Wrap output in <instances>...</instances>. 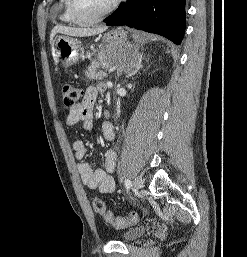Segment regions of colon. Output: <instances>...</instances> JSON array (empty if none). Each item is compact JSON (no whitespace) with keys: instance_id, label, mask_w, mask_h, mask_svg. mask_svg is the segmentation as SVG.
<instances>
[{"instance_id":"5ec220e1","label":"colon","mask_w":247,"mask_h":257,"mask_svg":"<svg viewBox=\"0 0 247 257\" xmlns=\"http://www.w3.org/2000/svg\"><path fill=\"white\" fill-rule=\"evenodd\" d=\"M62 103L65 107L71 108L75 106L80 97L81 89L70 82H64L61 86ZM95 213L100 215L105 222L113 225L115 228H126L138 221V214L132 212L127 217L115 216L110 210H108L105 202L101 198H94L92 202Z\"/></svg>"}]
</instances>
